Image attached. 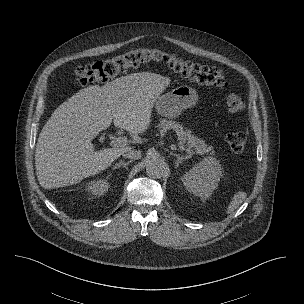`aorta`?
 Wrapping results in <instances>:
<instances>
[{
    "mask_svg": "<svg viewBox=\"0 0 304 304\" xmlns=\"http://www.w3.org/2000/svg\"><path fill=\"white\" fill-rule=\"evenodd\" d=\"M166 171V163L157 157H153L147 161L146 172L153 178H160Z\"/></svg>",
    "mask_w": 304,
    "mask_h": 304,
    "instance_id": "obj_1",
    "label": "aorta"
}]
</instances>
